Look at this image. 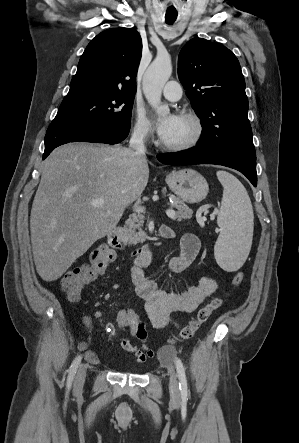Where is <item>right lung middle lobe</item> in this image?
<instances>
[{
    "mask_svg": "<svg viewBox=\"0 0 299 443\" xmlns=\"http://www.w3.org/2000/svg\"><path fill=\"white\" fill-rule=\"evenodd\" d=\"M134 97L98 88H70L50 126L130 125Z\"/></svg>",
    "mask_w": 299,
    "mask_h": 443,
    "instance_id": "right-lung-middle-lobe-1",
    "label": "right lung middle lobe"
}]
</instances>
